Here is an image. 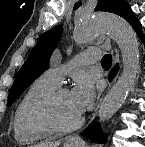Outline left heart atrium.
<instances>
[{"label": "left heart atrium", "instance_id": "obj_1", "mask_svg": "<svg viewBox=\"0 0 145 147\" xmlns=\"http://www.w3.org/2000/svg\"><path fill=\"white\" fill-rule=\"evenodd\" d=\"M95 85L91 78L86 75H80L70 91L71 100L76 112L83 114L93 102L95 97Z\"/></svg>", "mask_w": 145, "mask_h": 147}]
</instances>
